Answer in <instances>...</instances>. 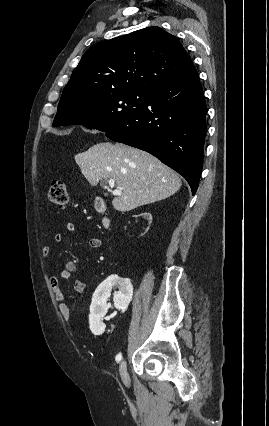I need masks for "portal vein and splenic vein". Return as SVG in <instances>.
<instances>
[{
  "label": "portal vein and splenic vein",
  "instance_id": "1",
  "mask_svg": "<svg viewBox=\"0 0 269 426\" xmlns=\"http://www.w3.org/2000/svg\"><path fill=\"white\" fill-rule=\"evenodd\" d=\"M108 185H109V187L112 189V188H114V186H115V181L113 180V179H110V180H108ZM112 194L114 195V196H119V195H121L122 194V191L120 190V189H116V190H113L112 191Z\"/></svg>",
  "mask_w": 269,
  "mask_h": 426
}]
</instances>
